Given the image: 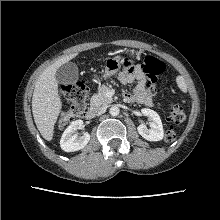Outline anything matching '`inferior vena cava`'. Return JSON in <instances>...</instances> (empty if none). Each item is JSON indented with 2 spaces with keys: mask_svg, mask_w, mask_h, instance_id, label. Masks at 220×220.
Returning a JSON list of instances; mask_svg holds the SVG:
<instances>
[{
  "mask_svg": "<svg viewBox=\"0 0 220 220\" xmlns=\"http://www.w3.org/2000/svg\"><path fill=\"white\" fill-rule=\"evenodd\" d=\"M105 111L104 108H91L90 109V114L91 115H100Z\"/></svg>",
  "mask_w": 220,
  "mask_h": 220,
  "instance_id": "1",
  "label": "inferior vena cava"
}]
</instances>
